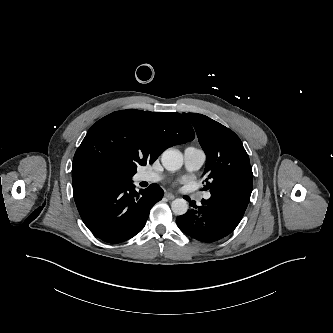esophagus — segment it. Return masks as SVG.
Listing matches in <instances>:
<instances>
[{"instance_id":"34e87169","label":"esophagus","mask_w":333,"mask_h":333,"mask_svg":"<svg viewBox=\"0 0 333 333\" xmlns=\"http://www.w3.org/2000/svg\"><path fill=\"white\" fill-rule=\"evenodd\" d=\"M165 197L167 198V199H169V200H173L174 198H175V196L173 195V194H171V193H165Z\"/></svg>"}]
</instances>
